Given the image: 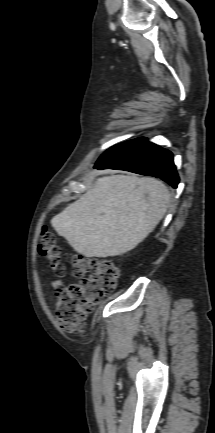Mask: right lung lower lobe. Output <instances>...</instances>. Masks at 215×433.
<instances>
[{
    "instance_id": "right-lung-lower-lobe-1",
    "label": "right lung lower lobe",
    "mask_w": 215,
    "mask_h": 433,
    "mask_svg": "<svg viewBox=\"0 0 215 433\" xmlns=\"http://www.w3.org/2000/svg\"><path fill=\"white\" fill-rule=\"evenodd\" d=\"M98 169H118L160 178L177 188L179 176L173 162V154L147 138L135 139L126 148L103 163L94 166Z\"/></svg>"
}]
</instances>
